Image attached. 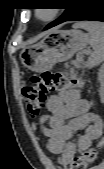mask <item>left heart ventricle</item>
Masks as SVG:
<instances>
[{"label":"left heart ventricle","mask_w":104,"mask_h":169,"mask_svg":"<svg viewBox=\"0 0 104 169\" xmlns=\"http://www.w3.org/2000/svg\"><path fill=\"white\" fill-rule=\"evenodd\" d=\"M47 15V13L46 12H41V16H46Z\"/></svg>","instance_id":"b2bd125f"}]
</instances>
